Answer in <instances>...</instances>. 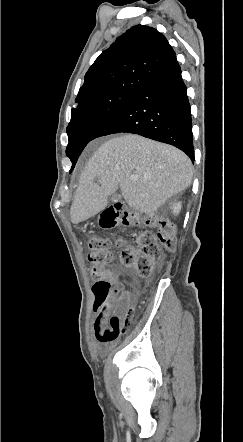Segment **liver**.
I'll return each instance as SVG.
<instances>
[{
    "mask_svg": "<svg viewBox=\"0 0 243 442\" xmlns=\"http://www.w3.org/2000/svg\"><path fill=\"white\" fill-rule=\"evenodd\" d=\"M132 175L138 179L132 180ZM192 176L190 159L173 146L133 134L113 137L96 150L81 173L71 222L78 224L104 210L118 187L131 208L151 213L187 189Z\"/></svg>",
    "mask_w": 243,
    "mask_h": 442,
    "instance_id": "liver-1",
    "label": "liver"
}]
</instances>
